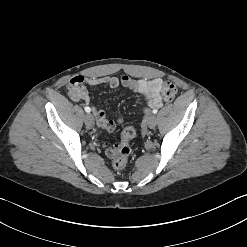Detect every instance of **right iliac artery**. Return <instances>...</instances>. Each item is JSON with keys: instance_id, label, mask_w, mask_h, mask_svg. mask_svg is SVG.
<instances>
[{"instance_id": "1", "label": "right iliac artery", "mask_w": 247, "mask_h": 247, "mask_svg": "<svg viewBox=\"0 0 247 247\" xmlns=\"http://www.w3.org/2000/svg\"><path fill=\"white\" fill-rule=\"evenodd\" d=\"M84 109H85V111H86L87 113H90V112H91V108L88 107V106H86Z\"/></svg>"}]
</instances>
